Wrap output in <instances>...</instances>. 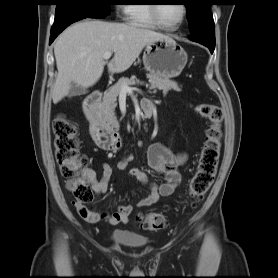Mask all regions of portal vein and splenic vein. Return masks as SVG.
I'll use <instances>...</instances> for the list:
<instances>
[{
  "instance_id": "obj_1",
  "label": "portal vein and splenic vein",
  "mask_w": 278,
  "mask_h": 278,
  "mask_svg": "<svg viewBox=\"0 0 278 278\" xmlns=\"http://www.w3.org/2000/svg\"><path fill=\"white\" fill-rule=\"evenodd\" d=\"M111 56H112V52H105L104 55H103V58L107 60ZM131 90H133V88L129 87V85L124 84V85L121 86V92H123V93L129 92Z\"/></svg>"
}]
</instances>
